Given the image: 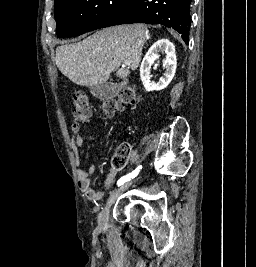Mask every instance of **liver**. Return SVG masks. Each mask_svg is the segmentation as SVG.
I'll list each match as a JSON object with an SVG mask.
<instances>
[{"mask_svg": "<svg viewBox=\"0 0 256 267\" xmlns=\"http://www.w3.org/2000/svg\"><path fill=\"white\" fill-rule=\"evenodd\" d=\"M144 24H123L95 32L83 42L59 46L55 62L60 72L78 86H97L116 72L117 78H128L130 70L123 64H130L137 70L146 42Z\"/></svg>", "mask_w": 256, "mask_h": 267, "instance_id": "6515ba94", "label": "liver"}]
</instances>
